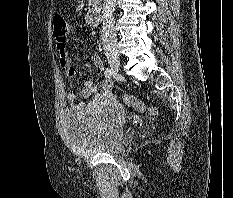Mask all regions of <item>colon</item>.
Masks as SVG:
<instances>
[{
	"label": "colon",
	"mask_w": 233,
	"mask_h": 198,
	"mask_svg": "<svg viewBox=\"0 0 233 198\" xmlns=\"http://www.w3.org/2000/svg\"><path fill=\"white\" fill-rule=\"evenodd\" d=\"M68 31L69 28L66 20L62 16H55L53 19V34L55 39H65ZM123 102L128 107L134 108L140 112H148L151 115H155L157 113V109L155 107H147L141 100L131 95L123 96Z\"/></svg>",
	"instance_id": "colon-1"
}]
</instances>
